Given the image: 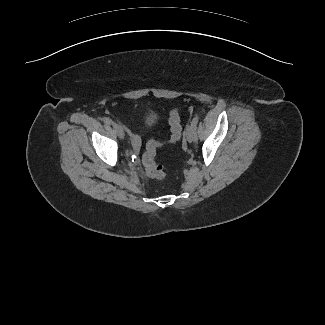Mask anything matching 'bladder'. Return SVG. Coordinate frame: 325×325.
Instances as JSON below:
<instances>
[{"mask_svg":"<svg viewBox=\"0 0 325 325\" xmlns=\"http://www.w3.org/2000/svg\"><path fill=\"white\" fill-rule=\"evenodd\" d=\"M155 121H156V116L148 119L149 124H154Z\"/></svg>","mask_w":325,"mask_h":325,"instance_id":"obj_1","label":"bladder"}]
</instances>
